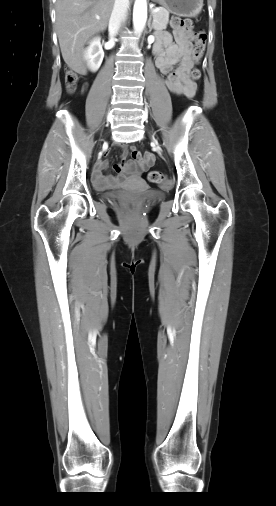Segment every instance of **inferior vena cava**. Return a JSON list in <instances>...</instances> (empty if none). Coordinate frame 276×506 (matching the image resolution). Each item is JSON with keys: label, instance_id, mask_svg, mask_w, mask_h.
Listing matches in <instances>:
<instances>
[{"label": "inferior vena cava", "instance_id": "1", "mask_svg": "<svg viewBox=\"0 0 276 506\" xmlns=\"http://www.w3.org/2000/svg\"><path fill=\"white\" fill-rule=\"evenodd\" d=\"M129 9V0H115L114 7L109 20L110 40L117 35L121 23L125 21Z\"/></svg>", "mask_w": 276, "mask_h": 506}]
</instances>
